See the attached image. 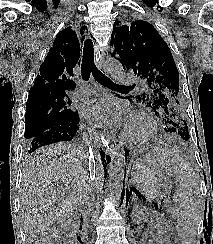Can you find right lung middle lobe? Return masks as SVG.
I'll use <instances>...</instances> for the list:
<instances>
[{
	"instance_id": "right-lung-middle-lobe-1",
	"label": "right lung middle lobe",
	"mask_w": 213,
	"mask_h": 244,
	"mask_svg": "<svg viewBox=\"0 0 213 244\" xmlns=\"http://www.w3.org/2000/svg\"><path fill=\"white\" fill-rule=\"evenodd\" d=\"M71 104L67 95L28 97L24 137L29 141L50 128L75 119L78 112Z\"/></svg>"
}]
</instances>
